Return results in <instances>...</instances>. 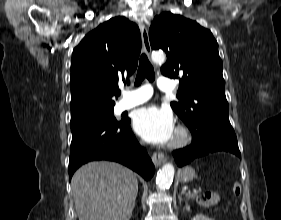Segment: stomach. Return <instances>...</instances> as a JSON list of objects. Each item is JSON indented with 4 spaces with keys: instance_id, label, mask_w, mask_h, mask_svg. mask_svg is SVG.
I'll list each match as a JSON object with an SVG mask.
<instances>
[{
    "instance_id": "obj_1",
    "label": "stomach",
    "mask_w": 281,
    "mask_h": 220,
    "mask_svg": "<svg viewBox=\"0 0 281 220\" xmlns=\"http://www.w3.org/2000/svg\"><path fill=\"white\" fill-rule=\"evenodd\" d=\"M183 182L192 181L196 177V172L192 167H185L180 171Z\"/></svg>"
}]
</instances>
